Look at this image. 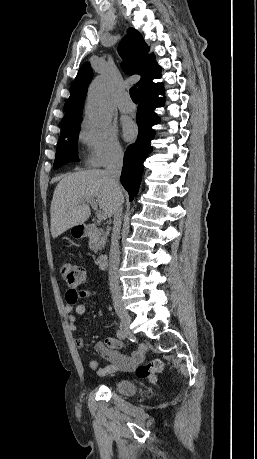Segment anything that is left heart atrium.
<instances>
[{
	"instance_id": "39dd6f15",
	"label": "left heart atrium",
	"mask_w": 257,
	"mask_h": 459,
	"mask_svg": "<svg viewBox=\"0 0 257 459\" xmlns=\"http://www.w3.org/2000/svg\"><path fill=\"white\" fill-rule=\"evenodd\" d=\"M123 134H124L125 139L127 140H131L135 136L136 126L132 121L126 120L123 123Z\"/></svg>"
}]
</instances>
